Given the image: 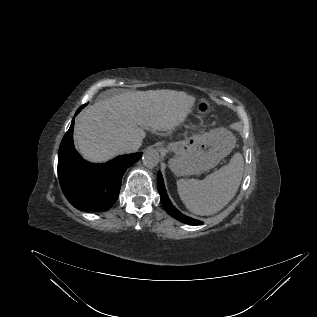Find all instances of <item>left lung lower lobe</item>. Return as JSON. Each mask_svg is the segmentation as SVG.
I'll return each mask as SVG.
<instances>
[{
  "mask_svg": "<svg viewBox=\"0 0 317 317\" xmlns=\"http://www.w3.org/2000/svg\"><path fill=\"white\" fill-rule=\"evenodd\" d=\"M157 185H158V191L160 194L161 202H162L165 210L167 211V213L169 215H171L175 219H177L183 223L189 224V225H202L203 224L202 221H198V220L192 219L186 215H183L179 210H177L172 205L170 199L168 198L167 192L165 190L164 181H163L162 174L160 171L158 172V176H157Z\"/></svg>",
  "mask_w": 317,
  "mask_h": 317,
  "instance_id": "0a47b994",
  "label": "left lung lower lobe"
}]
</instances>
